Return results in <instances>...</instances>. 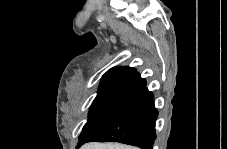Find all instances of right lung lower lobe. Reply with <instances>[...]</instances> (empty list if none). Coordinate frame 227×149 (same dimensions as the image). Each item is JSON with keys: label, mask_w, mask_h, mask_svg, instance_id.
<instances>
[{"label": "right lung lower lobe", "mask_w": 227, "mask_h": 149, "mask_svg": "<svg viewBox=\"0 0 227 149\" xmlns=\"http://www.w3.org/2000/svg\"><path fill=\"white\" fill-rule=\"evenodd\" d=\"M157 116L154 95L144 86L117 117L91 132L86 142H120L152 149Z\"/></svg>", "instance_id": "1"}]
</instances>
